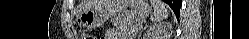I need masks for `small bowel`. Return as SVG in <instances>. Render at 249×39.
I'll return each mask as SVG.
<instances>
[{
  "mask_svg": "<svg viewBox=\"0 0 249 39\" xmlns=\"http://www.w3.org/2000/svg\"><path fill=\"white\" fill-rule=\"evenodd\" d=\"M101 39H118V36L114 29H108Z\"/></svg>",
  "mask_w": 249,
  "mask_h": 39,
  "instance_id": "1",
  "label": "small bowel"
}]
</instances>
